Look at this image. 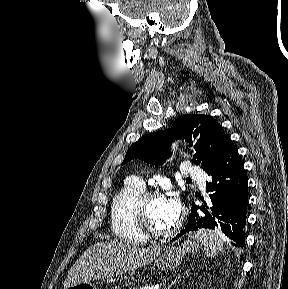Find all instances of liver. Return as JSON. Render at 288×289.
Instances as JSON below:
<instances>
[{
	"label": "liver",
	"instance_id": "1",
	"mask_svg": "<svg viewBox=\"0 0 288 289\" xmlns=\"http://www.w3.org/2000/svg\"><path fill=\"white\" fill-rule=\"evenodd\" d=\"M161 252V247L139 248L118 241L96 243L69 270L64 289L149 265Z\"/></svg>",
	"mask_w": 288,
	"mask_h": 289
}]
</instances>
